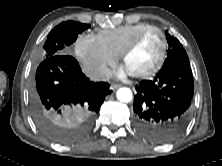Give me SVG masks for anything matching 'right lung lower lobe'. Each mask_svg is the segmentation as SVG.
Segmentation results:
<instances>
[{
  "label": "right lung lower lobe",
  "mask_w": 222,
  "mask_h": 166,
  "mask_svg": "<svg viewBox=\"0 0 222 166\" xmlns=\"http://www.w3.org/2000/svg\"><path fill=\"white\" fill-rule=\"evenodd\" d=\"M106 82L89 81L75 58L57 54L44 59L36 70L31 93L32 113L62 122L57 137L68 143L78 139L90 126L105 97L112 91ZM72 128H69L70 126Z\"/></svg>",
  "instance_id": "98d812e1"
}]
</instances>
